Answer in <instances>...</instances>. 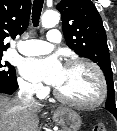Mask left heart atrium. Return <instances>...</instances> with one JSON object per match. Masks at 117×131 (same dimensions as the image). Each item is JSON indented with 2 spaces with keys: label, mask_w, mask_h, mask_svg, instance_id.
Returning a JSON list of instances; mask_svg holds the SVG:
<instances>
[{
  "label": "left heart atrium",
  "mask_w": 117,
  "mask_h": 131,
  "mask_svg": "<svg viewBox=\"0 0 117 131\" xmlns=\"http://www.w3.org/2000/svg\"><path fill=\"white\" fill-rule=\"evenodd\" d=\"M63 67L55 57L27 59L21 65L22 74L31 80H42L57 86Z\"/></svg>",
  "instance_id": "39dd6f15"
}]
</instances>
